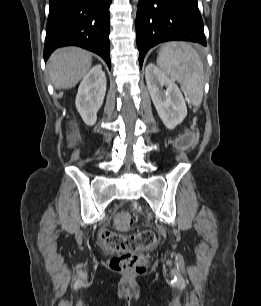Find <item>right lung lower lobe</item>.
I'll return each instance as SVG.
<instances>
[{"instance_id":"1","label":"right lung lower lobe","mask_w":261,"mask_h":306,"mask_svg":"<svg viewBox=\"0 0 261 306\" xmlns=\"http://www.w3.org/2000/svg\"><path fill=\"white\" fill-rule=\"evenodd\" d=\"M112 0H50L44 59L74 45L100 55L111 68L109 6Z\"/></svg>"}]
</instances>
